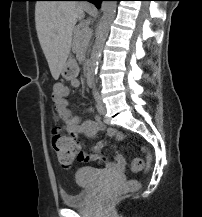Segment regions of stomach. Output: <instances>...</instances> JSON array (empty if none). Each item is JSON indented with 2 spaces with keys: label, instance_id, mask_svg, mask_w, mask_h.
Here are the masks:
<instances>
[{
  "label": "stomach",
  "instance_id": "1",
  "mask_svg": "<svg viewBox=\"0 0 202 217\" xmlns=\"http://www.w3.org/2000/svg\"><path fill=\"white\" fill-rule=\"evenodd\" d=\"M79 73V67L74 60H68L61 72V75L65 79L76 78Z\"/></svg>",
  "mask_w": 202,
  "mask_h": 217
}]
</instances>
